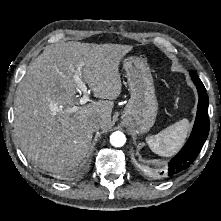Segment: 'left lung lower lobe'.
Instances as JSON below:
<instances>
[{"instance_id": "obj_1", "label": "left lung lower lobe", "mask_w": 221, "mask_h": 221, "mask_svg": "<svg viewBox=\"0 0 221 221\" xmlns=\"http://www.w3.org/2000/svg\"><path fill=\"white\" fill-rule=\"evenodd\" d=\"M194 84L199 95L194 127L181 151L170 160L165 172H160L164 177H172L186 170L198 156L209 134L208 95L201 81H194Z\"/></svg>"}]
</instances>
